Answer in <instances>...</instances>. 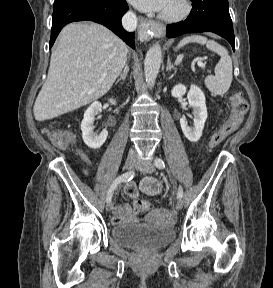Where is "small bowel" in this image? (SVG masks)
I'll return each instance as SVG.
<instances>
[{
  "label": "small bowel",
  "mask_w": 273,
  "mask_h": 288,
  "mask_svg": "<svg viewBox=\"0 0 273 288\" xmlns=\"http://www.w3.org/2000/svg\"><path fill=\"white\" fill-rule=\"evenodd\" d=\"M80 157L84 162L85 166L88 168L91 165L89 158L82 152L79 151ZM126 193L133 201V205H129L127 203H122L117 205L114 208L113 212V222L114 223H122V222H136L139 214L142 212L138 207V194L142 192L147 195H156L161 191V184L160 182L152 177L144 178L139 186L137 187L136 184L130 182L126 185Z\"/></svg>",
  "instance_id": "c3829d8e"
}]
</instances>
